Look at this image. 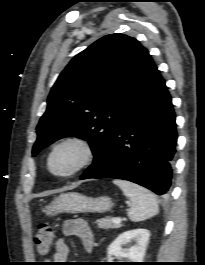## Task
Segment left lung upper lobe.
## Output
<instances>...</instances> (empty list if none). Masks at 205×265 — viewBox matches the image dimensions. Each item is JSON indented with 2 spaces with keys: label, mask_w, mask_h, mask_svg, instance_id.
<instances>
[{
  "label": "left lung upper lobe",
  "mask_w": 205,
  "mask_h": 265,
  "mask_svg": "<svg viewBox=\"0 0 205 265\" xmlns=\"http://www.w3.org/2000/svg\"><path fill=\"white\" fill-rule=\"evenodd\" d=\"M155 66L148 50L123 34L104 36L76 55L51 89L32 156L76 136L89 142L96 159Z\"/></svg>",
  "instance_id": "5c2ea615"
}]
</instances>
